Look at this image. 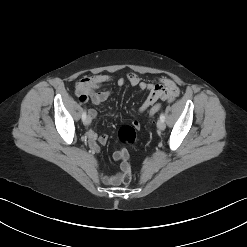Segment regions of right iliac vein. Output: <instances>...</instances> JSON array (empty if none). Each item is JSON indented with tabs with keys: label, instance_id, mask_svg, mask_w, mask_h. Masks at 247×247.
Segmentation results:
<instances>
[{
	"label": "right iliac vein",
	"instance_id": "obj_1",
	"mask_svg": "<svg viewBox=\"0 0 247 247\" xmlns=\"http://www.w3.org/2000/svg\"><path fill=\"white\" fill-rule=\"evenodd\" d=\"M84 124L86 126H89L91 124V118L90 117H87L85 120H84Z\"/></svg>",
	"mask_w": 247,
	"mask_h": 247
}]
</instances>
